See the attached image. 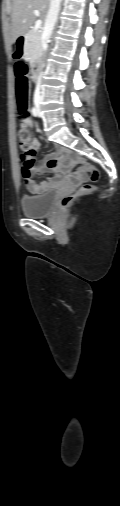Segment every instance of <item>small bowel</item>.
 I'll list each match as a JSON object with an SVG mask.
<instances>
[{
  "mask_svg": "<svg viewBox=\"0 0 120 506\" xmlns=\"http://www.w3.org/2000/svg\"><path fill=\"white\" fill-rule=\"evenodd\" d=\"M31 125L32 122L30 120L22 124L23 127H30ZM77 158V155L73 151L57 148L56 152L47 154L32 169L24 166L22 173L27 189L31 193L38 194L45 191L51 183H59L66 180L68 177L67 172L74 167ZM45 172H53L54 176L49 180L37 183L34 180V175ZM70 178L73 182H82L87 180V175L83 172H75L70 175Z\"/></svg>",
  "mask_w": 120,
  "mask_h": 506,
  "instance_id": "1",
  "label": "small bowel"
}]
</instances>
